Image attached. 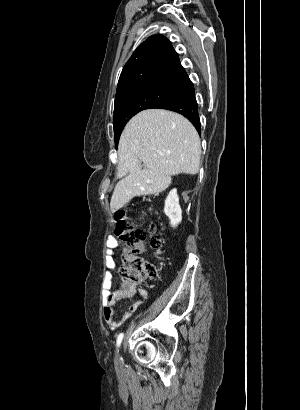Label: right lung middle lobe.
Masks as SVG:
<instances>
[{
	"label": "right lung middle lobe",
	"mask_w": 300,
	"mask_h": 410,
	"mask_svg": "<svg viewBox=\"0 0 300 410\" xmlns=\"http://www.w3.org/2000/svg\"><path fill=\"white\" fill-rule=\"evenodd\" d=\"M185 82H156L136 84L125 88L115 97L114 138L117 146L126 123L138 112L160 108L178 97L188 86Z\"/></svg>",
	"instance_id": "obj_1"
}]
</instances>
